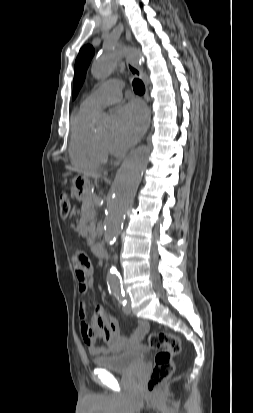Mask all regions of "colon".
<instances>
[{"instance_id": "5ec220e1", "label": "colon", "mask_w": 253, "mask_h": 413, "mask_svg": "<svg viewBox=\"0 0 253 413\" xmlns=\"http://www.w3.org/2000/svg\"><path fill=\"white\" fill-rule=\"evenodd\" d=\"M59 211L62 218L70 215L71 202L66 195H61L59 198ZM148 344L152 349L158 350L147 382L148 393L155 395L161 385L174 373V358L181 351V341L173 334L154 332L149 335Z\"/></svg>"}]
</instances>
